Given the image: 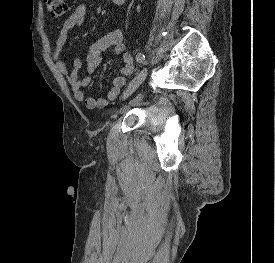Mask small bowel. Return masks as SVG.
Wrapping results in <instances>:
<instances>
[{"mask_svg":"<svg viewBox=\"0 0 275 263\" xmlns=\"http://www.w3.org/2000/svg\"><path fill=\"white\" fill-rule=\"evenodd\" d=\"M89 4L87 2H79L74 6L71 15L64 21L55 41L53 51V61L60 73L67 80L74 98L79 102H84L90 109L104 108L110 101L115 100L120 89L126 83V77L133 73L134 63L130 54L124 53V65L120 69V75L112 80L111 87L106 95L102 98L89 97L84 91V87L88 86L92 80V74L98 70L102 64L101 54L103 51L112 47V55H118L125 49L124 36L121 29L116 28L92 43L89 48L73 61V69L69 70L62 58V50L65 46L68 34L82 25L88 13ZM86 63V75L79 77V70Z\"/></svg>","mask_w":275,"mask_h":263,"instance_id":"obj_1","label":"small bowel"}]
</instances>
